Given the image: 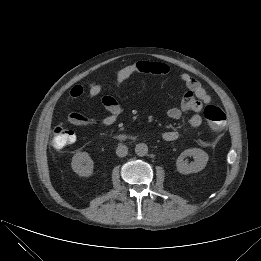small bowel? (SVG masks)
<instances>
[{
    "label": "small bowel",
    "mask_w": 261,
    "mask_h": 261,
    "mask_svg": "<svg viewBox=\"0 0 261 261\" xmlns=\"http://www.w3.org/2000/svg\"><path fill=\"white\" fill-rule=\"evenodd\" d=\"M169 72L170 68L165 63L138 61L118 69L115 71L114 77L117 85H122L126 80L136 73L165 75ZM180 78L186 86L187 91L183 96L180 105L170 108L167 111V115L171 119L178 120L184 114L192 113L189 119V125L191 128L196 129L202 124L200 112L203 108V105L210 103L211 97L202 87L201 83L194 77L184 73L180 76ZM85 92H87L91 99H94L101 94L102 86L97 82H91L86 86L74 85L69 91V98L70 100L74 101L80 98ZM101 104L108 112L107 115L103 117H93L73 111L70 112L67 116L68 122L76 126H109L114 124L122 110L120 104L115 98L109 95H105L101 98ZM162 137L167 142H173L178 139L179 133L176 130H167L163 133Z\"/></svg>",
    "instance_id": "1"
}]
</instances>
